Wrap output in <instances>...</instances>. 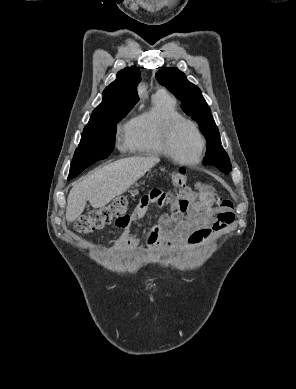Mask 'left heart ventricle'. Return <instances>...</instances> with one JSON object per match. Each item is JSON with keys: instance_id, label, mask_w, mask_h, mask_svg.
<instances>
[{"instance_id": "obj_1", "label": "left heart ventricle", "mask_w": 296, "mask_h": 389, "mask_svg": "<svg viewBox=\"0 0 296 389\" xmlns=\"http://www.w3.org/2000/svg\"><path fill=\"white\" fill-rule=\"evenodd\" d=\"M172 147L179 158L194 160L198 156L200 142L194 129L182 123L174 131Z\"/></svg>"}]
</instances>
